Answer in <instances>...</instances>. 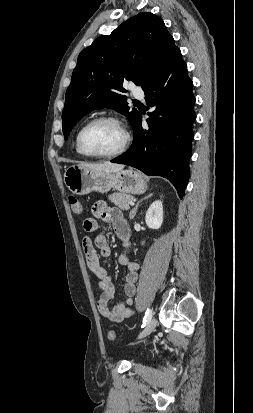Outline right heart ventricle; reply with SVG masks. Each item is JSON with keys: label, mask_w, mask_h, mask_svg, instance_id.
Wrapping results in <instances>:
<instances>
[{"label": "right heart ventricle", "mask_w": 253, "mask_h": 413, "mask_svg": "<svg viewBox=\"0 0 253 413\" xmlns=\"http://www.w3.org/2000/svg\"><path fill=\"white\" fill-rule=\"evenodd\" d=\"M76 139H77V135H76V137H75V139H74V148H75V151H76V153H77L78 155H82V154L80 153V151L78 150Z\"/></svg>", "instance_id": "right-heart-ventricle-1"}]
</instances>
